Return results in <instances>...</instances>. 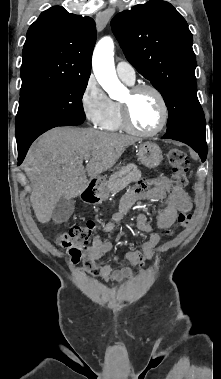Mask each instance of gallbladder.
Returning a JSON list of instances; mask_svg holds the SVG:
<instances>
[{"label":"gallbladder","mask_w":221,"mask_h":379,"mask_svg":"<svg viewBox=\"0 0 221 379\" xmlns=\"http://www.w3.org/2000/svg\"><path fill=\"white\" fill-rule=\"evenodd\" d=\"M75 201L73 199H66L61 197L52 213V219L55 223H62L67 221L74 212Z\"/></svg>","instance_id":"1"}]
</instances>
